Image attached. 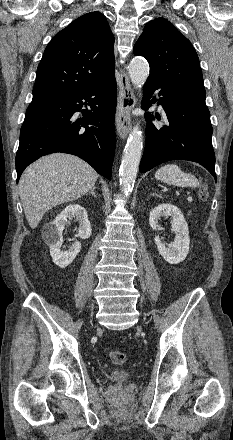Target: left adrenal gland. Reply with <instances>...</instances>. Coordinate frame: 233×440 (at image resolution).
Segmentation results:
<instances>
[{
	"label": "left adrenal gland",
	"mask_w": 233,
	"mask_h": 440,
	"mask_svg": "<svg viewBox=\"0 0 233 440\" xmlns=\"http://www.w3.org/2000/svg\"><path fill=\"white\" fill-rule=\"evenodd\" d=\"M152 196H155V197H161V196H160L159 194H157V193H153Z\"/></svg>",
	"instance_id": "1"
}]
</instances>
